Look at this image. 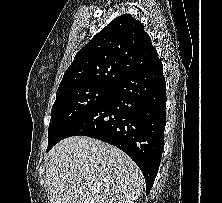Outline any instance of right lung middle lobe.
I'll list each match as a JSON object with an SVG mask.
<instances>
[{"mask_svg": "<svg viewBox=\"0 0 222 203\" xmlns=\"http://www.w3.org/2000/svg\"><path fill=\"white\" fill-rule=\"evenodd\" d=\"M110 92L111 87L95 85L73 86L57 90L56 100L51 109L47 149L69 125L100 105Z\"/></svg>", "mask_w": 222, "mask_h": 203, "instance_id": "right-lung-middle-lobe-1", "label": "right lung middle lobe"}]
</instances>
